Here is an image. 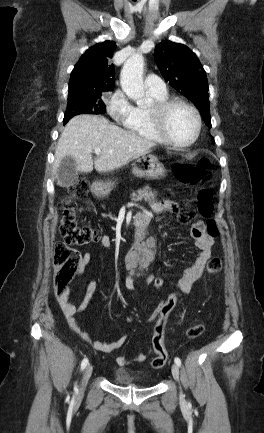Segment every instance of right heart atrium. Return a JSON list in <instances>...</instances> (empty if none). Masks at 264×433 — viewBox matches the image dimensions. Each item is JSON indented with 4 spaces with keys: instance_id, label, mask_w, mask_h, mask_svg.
Returning <instances> with one entry per match:
<instances>
[{
    "instance_id": "d8ad5b80",
    "label": "right heart atrium",
    "mask_w": 264,
    "mask_h": 433,
    "mask_svg": "<svg viewBox=\"0 0 264 433\" xmlns=\"http://www.w3.org/2000/svg\"><path fill=\"white\" fill-rule=\"evenodd\" d=\"M106 110L113 120L126 125L133 120L136 107L123 91L117 90L106 99Z\"/></svg>"
}]
</instances>
